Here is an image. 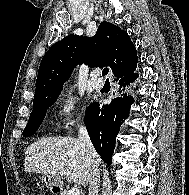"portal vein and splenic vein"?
Instances as JSON below:
<instances>
[{
	"label": "portal vein and splenic vein",
	"instance_id": "portal-vein-and-splenic-vein-1",
	"mask_svg": "<svg viewBox=\"0 0 189 195\" xmlns=\"http://www.w3.org/2000/svg\"><path fill=\"white\" fill-rule=\"evenodd\" d=\"M68 195H80L79 189L78 188H71L68 192Z\"/></svg>",
	"mask_w": 189,
	"mask_h": 195
}]
</instances>
